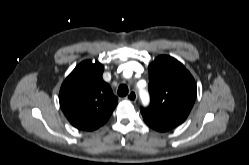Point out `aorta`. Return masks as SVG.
Here are the masks:
<instances>
[{
  "label": "aorta",
  "mask_w": 249,
  "mask_h": 165,
  "mask_svg": "<svg viewBox=\"0 0 249 165\" xmlns=\"http://www.w3.org/2000/svg\"><path fill=\"white\" fill-rule=\"evenodd\" d=\"M140 97L144 105L149 103V95L145 90H140Z\"/></svg>",
  "instance_id": "762f6f07"
}]
</instances>
